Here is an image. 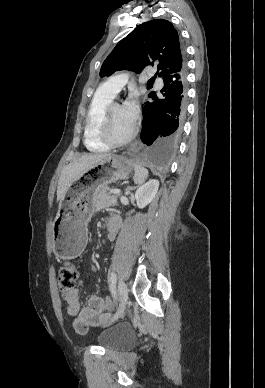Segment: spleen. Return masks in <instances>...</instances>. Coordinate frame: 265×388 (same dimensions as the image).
<instances>
[{
    "mask_svg": "<svg viewBox=\"0 0 265 388\" xmlns=\"http://www.w3.org/2000/svg\"><path fill=\"white\" fill-rule=\"evenodd\" d=\"M134 168V182L135 184H144L145 180L148 178V170L146 168H142V166H138V164H133Z\"/></svg>",
    "mask_w": 265,
    "mask_h": 388,
    "instance_id": "obj_1",
    "label": "spleen"
}]
</instances>
